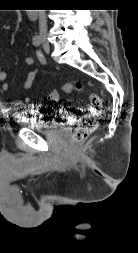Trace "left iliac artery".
<instances>
[{"mask_svg":"<svg viewBox=\"0 0 138 253\" xmlns=\"http://www.w3.org/2000/svg\"><path fill=\"white\" fill-rule=\"evenodd\" d=\"M37 57H38V59H39L41 62L44 61L43 54H42L40 51H37Z\"/></svg>","mask_w":138,"mask_h":253,"instance_id":"44dca946","label":"left iliac artery"}]
</instances>
